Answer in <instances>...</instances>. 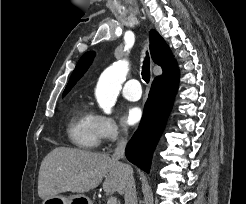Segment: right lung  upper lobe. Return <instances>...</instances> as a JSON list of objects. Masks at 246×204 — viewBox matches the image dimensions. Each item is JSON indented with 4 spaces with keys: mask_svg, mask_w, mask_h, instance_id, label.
Here are the masks:
<instances>
[{
    "mask_svg": "<svg viewBox=\"0 0 246 204\" xmlns=\"http://www.w3.org/2000/svg\"><path fill=\"white\" fill-rule=\"evenodd\" d=\"M150 52L155 63L159 64L163 69V74L177 68V64L173 59V55L165 43L164 39L155 30L150 31ZM95 53L93 51L85 53L78 61L74 69L68 85L66 86L63 96L67 94L76 82L86 72L89 65L92 63Z\"/></svg>",
    "mask_w": 246,
    "mask_h": 204,
    "instance_id": "obj_1",
    "label": "right lung upper lobe"
}]
</instances>
